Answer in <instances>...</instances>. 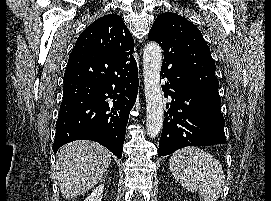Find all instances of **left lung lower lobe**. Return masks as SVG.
<instances>
[{
	"label": "left lung lower lobe",
	"mask_w": 271,
	"mask_h": 201,
	"mask_svg": "<svg viewBox=\"0 0 271 201\" xmlns=\"http://www.w3.org/2000/svg\"><path fill=\"white\" fill-rule=\"evenodd\" d=\"M164 57L160 79L167 78L162 90L172 101L165 112L160 138L159 156H165L186 146H211L226 142L225 122L202 95L192 86L180 66L179 51L172 48Z\"/></svg>",
	"instance_id": "1"
}]
</instances>
